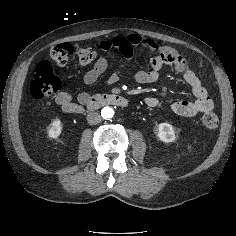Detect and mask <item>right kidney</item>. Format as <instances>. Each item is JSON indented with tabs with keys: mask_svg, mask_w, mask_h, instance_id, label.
<instances>
[{
	"mask_svg": "<svg viewBox=\"0 0 236 236\" xmlns=\"http://www.w3.org/2000/svg\"><path fill=\"white\" fill-rule=\"evenodd\" d=\"M62 132V123L60 120H54L49 129H48V136L50 138L56 139L61 135Z\"/></svg>",
	"mask_w": 236,
	"mask_h": 236,
	"instance_id": "ca27d5eb",
	"label": "right kidney"
}]
</instances>
